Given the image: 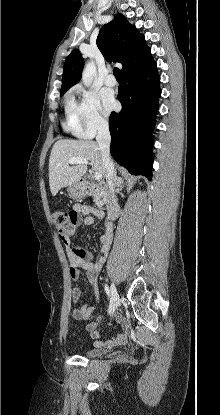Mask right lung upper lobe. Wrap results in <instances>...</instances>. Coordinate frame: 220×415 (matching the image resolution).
I'll list each match as a JSON object with an SVG mask.
<instances>
[{
    "label": "right lung upper lobe",
    "mask_w": 220,
    "mask_h": 415,
    "mask_svg": "<svg viewBox=\"0 0 220 415\" xmlns=\"http://www.w3.org/2000/svg\"><path fill=\"white\" fill-rule=\"evenodd\" d=\"M145 38L129 24L126 17L117 14L105 24L97 37V46L108 61L123 65L122 74L138 69L152 60ZM84 60L78 50L66 58L62 77L61 92H66L81 79Z\"/></svg>",
    "instance_id": "right-lung-upper-lobe-1"
}]
</instances>
